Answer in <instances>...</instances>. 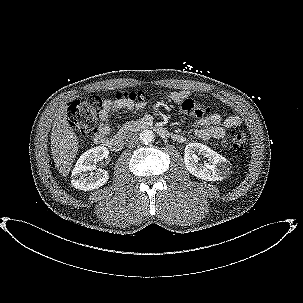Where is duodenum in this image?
<instances>
[{
  "mask_svg": "<svg viewBox=\"0 0 303 303\" xmlns=\"http://www.w3.org/2000/svg\"><path fill=\"white\" fill-rule=\"evenodd\" d=\"M128 129L130 130H154L157 132V134L162 138H169L170 133L167 129L160 127V126H152L149 123L146 122H136V123H130L128 125ZM102 145L107 146L109 149H111L114 152H119L124 146V139L121 136H117L111 139H105L102 143Z\"/></svg>",
  "mask_w": 303,
  "mask_h": 303,
  "instance_id": "1",
  "label": "duodenum"
}]
</instances>
